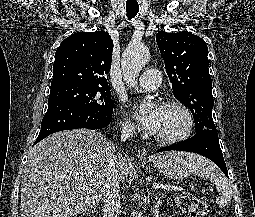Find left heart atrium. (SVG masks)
<instances>
[{"instance_id":"left-heart-atrium-1","label":"left heart atrium","mask_w":255,"mask_h":217,"mask_svg":"<svg viewBox=\"0 0 255 217\" xmlns=\"http://www.w3.org/2000/svg\"><path fill=\"white\" fill-rule=\"evenodd\" d=\"M162 107L155 106L144 115H137V119L144 132L155 135L160 126Z\"/></svg>"}]
</instances>
